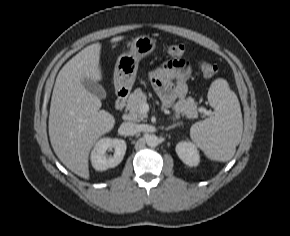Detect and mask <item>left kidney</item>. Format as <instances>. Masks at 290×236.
<instances>
[{
    "label": "left kidney",
    "mask_w": 290,
    "mask_h": 236,
    "mask_svg": "<svg viewBox=\"0 0 290 236\" xmlns=\"http://www.w3.org/2000/svg\"><path fill=\"white\" fill-rule=\"evenodd\" d=\"M179 158L188 166H197L200 162L199 152L191 142L182 141L176 146Z\"/></svg>",
    "instance_id": "1"
}]
</instances>
